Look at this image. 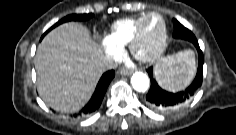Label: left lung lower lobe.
Listing matches in <instances>:
<instances>
[{
	"instance_id": "1",
	"label": "left lung lower lobe",
	"mask_w": 236,
	"mask_h": 135,
	"mask_svg": "<svg viewBox=\"0 0 236 135\" xmlns=\"http://www.w3.org/2000/svg\"><path fill=\"white\" fill-rule=\"evenodd\" d=\"M173 22H174L173 37L177 39L190 41L195 45L199 54V64L196 77L194 81L191 83V85L185 91H181L175 94L167 92L159 87V85L153 78L152 67L147 70L149 73V77L151 79V87L146 95L147 104L153 109L164 112L173 110L182 105L187 100H189L195 94V92L200 88L203 80L204 57L202 51L200 50L196 37L190 30L185 28L176 19H174Z\"/></svg>"
}]
</instances>
